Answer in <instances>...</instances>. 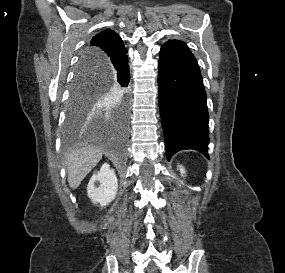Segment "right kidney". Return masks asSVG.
<instances>
[{
  "mask_svg": "<svg viewBox=\"0 0 285 273\" xmlns=\"http://www.w3.org/2000/svg\"><path fill=\"white\" fill-rule=\"evenodd\" d=\"M117 189L118 182L115 172L109 164L105 163L100 171L91 177L87 186V195L92 203H99L103 207L115 198Z\"/></svg>",
  "mask_w": 285,
  "mask_h": 273,
  "instance_id": "right-kidney-1",
  "label": "right kidney"
}]
</instances>
